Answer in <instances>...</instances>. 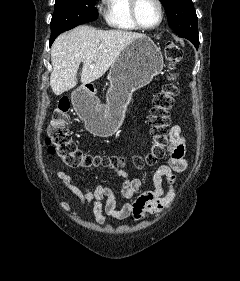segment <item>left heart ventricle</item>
I'll return each mask as SVG.
<instances>
[{
	"instance_id": "b2bd125f",
	"label": "left heart ventricle",
	"mask_w": 240,
	"mask_h": 281,
	"mask_svg": "<svg viewBox=\"0 0 240 281\" xmlns=\"http://www.w3.org/2000/svg\"><path fill=\"white\" fill-rule=\"evenodd\" d=\"M138 16L142 24L155 25L159 20V9L156 2L154 0H140Z\"/></svg>"
}]
</instances>
